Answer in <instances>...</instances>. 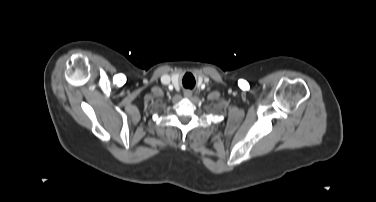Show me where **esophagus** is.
Returning <instances> with one entry per match:
<instances>
[{"instance_id": "34e87169", "label": "esophagus", "mask_w": 376, "mask_h": 202, "mask_svg": "<svg viewBox=\"0 0 376 202\" xmlns=\"http://www.w3.org/2000/svg\"><path fill=\"white\" fill-rule=\"evenodd\" d=\"M184 96H185L186 98H190V97L192 96V91H191V90H185V91H184Z\"/></svg>"}]
</instances>
